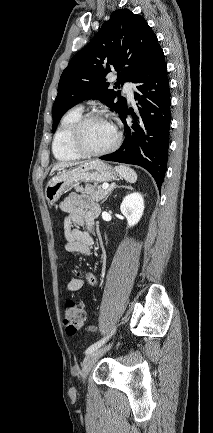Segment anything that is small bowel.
Instances as JSON below:
<instances>
[{
  "mask_svg": "<svg viewBox=\"0 0 213 433\" xmlns=\"http://www.w3.org/2000/svg\"><path fill=\"white\" fill-rule=\"evenodd\" d=\"M61 210L66 213L63 223L65 250L70 253L90 255L94 244V221L100 213L99 205L89 197L77 193H71L61 204ZM76 224L85 228L81 230L72 228ZM97 282L95 274L90 271L78 272L77 277L70 279L67 290L76 292L84 285L94 286ZM94 330V327H91Z\"/></svg>",
  "mask_w": 213,
  "mask_h": 433,
  "instance_id": "small-bowel-1",
  "label": "small bowel"
}]
</instances>
